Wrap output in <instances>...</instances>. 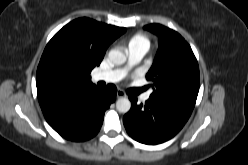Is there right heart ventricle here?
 Returning a JSON list of instances; mask_svg holds the SVG:
<instances>
[{"mask_svg": "<svg viewBox=\"0 0 248 165\" xmlns=\"http://www.w3.org/2000/svg\"><path fill=\"white\" fill-rule=\"evenodd\" d=\"M132 45H144L149 47V40L146 36L142 34L134 35L129 41H128V47Z\"/></svg>", "mask_w": 248, "mask_h": 165, "instance_id": "obj_1", "label": "right heart ventricle"}]
</instances>
